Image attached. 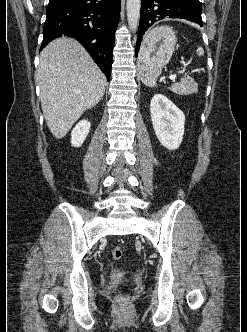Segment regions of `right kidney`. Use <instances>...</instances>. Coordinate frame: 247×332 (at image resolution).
I'll return each instance as SVG.
<instances>
[{"instance_id":"obj_1","label":"right kidney","mask_w":247,"mask_h":332,"mask_svg":"<svg viewBox=\"0 0 247 332\" xmlns=\"http://www.w3.org/2000/svg\"><path fill=\"white\" fill-rule=\"evenodd\" d=\"M91 124L88 120H81L71 132V144L74 147H80L90 130Z\"/></svg>"}]
</instances>
